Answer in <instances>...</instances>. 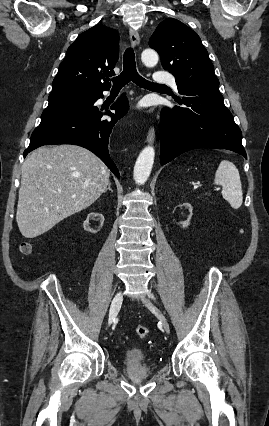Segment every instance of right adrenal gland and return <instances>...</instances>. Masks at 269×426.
<instances>
[{"instance_id":"1","label":"right adrenal gland","mask_w":269,"mask_h":426,"mask_svg":"<svg viewBox=\"0 0 269 426\" xmlns=\"http://www.w3.org/2000/svg\"><path fill=\"white\" fill-rule=\"evenodd\" d=\"M109 190L110 192H113V190L111 189V183L109 182L107 189L105 190V192Z\"/></svg>"}]
</instances>
